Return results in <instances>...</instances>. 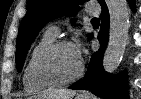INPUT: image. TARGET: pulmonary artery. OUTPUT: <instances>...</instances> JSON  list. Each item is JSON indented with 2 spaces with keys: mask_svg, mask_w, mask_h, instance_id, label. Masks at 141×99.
<instances>
[{
  "mask_svg": "<svg viewBox=\"0 0 141 99\" xmlns=\"http://www.w3.org/2000/svg\"><path fill=\"white\" fill-rule=\"evenodd\" d=\"M86 12L90 15H97L99 13V10L97 7L93 6V5H89L87 6L86 8ZM47 34L55 37L58 35L59 33V28L57 26H49L47 28V31H46Z\"/></svg>",
  "mask_w": 141,
  "mask_h": 99,
  "instance_id": "obj_1",
  "label": "pulmonary artery"
}]
</instances>
